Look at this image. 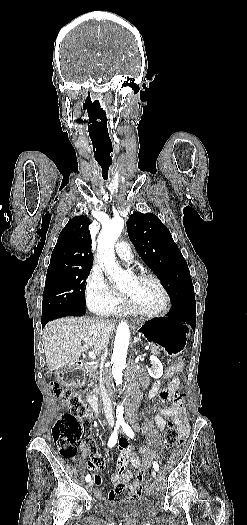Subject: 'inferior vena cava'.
Masks as SVG:
<instances>
[{
  "label": "inferior vena cava",
  "mask_w": 247,
  "mask_h": 525,
  "mask_svg": "<svg viewBox=\"0 0 247 525\" xmlns=\"http://www.w3.org/2000/svg\"><path fill=\"white\" fill-rule=\"evenodd\" d=\"M107 323H109V321H107ZM102 347H103V345H102ZM105 355H106V349H104V351H103V353L101 355V363H102V365H103V361L105 359ZM103 385H104V383H103V373H102V375L100 377V387H103ZM103 393H105V391H103ZM107 397H109V395H107ZM103 399H104V397H103Z\"/></svg>",
  "instance_id": "1"
}]
</instances>
